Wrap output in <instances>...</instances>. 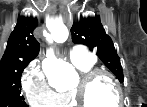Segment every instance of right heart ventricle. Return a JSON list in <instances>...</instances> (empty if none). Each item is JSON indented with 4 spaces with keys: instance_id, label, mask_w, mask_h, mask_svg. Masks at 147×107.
<instances>
[{
    "instance_id": "1",
    "label": "right heart ventricle",
    "mask_w": 147,
    "mask_h": 107,
    "mask_svg": "<svg viewBox=\"0 0 147 107\" xmlns=\"http://www.w3.org/2000/svg\"><path fill=\"white\" fill-rule=\"evenodd\" d=\"M75 66L81 73L84 74L94 69V62L88 63V64L75 65ZM57 104L61 105L62 107H77L72 91H67V92L58 94Z\"/></svg>"
}]
</instances>
